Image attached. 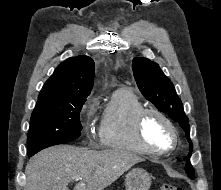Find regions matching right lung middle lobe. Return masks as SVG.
Instances as JSON below:
<instances>
[{"mask_svg":"<svg viewBox=\"0 0 221 190\" xmlns=\"http://www.w3.org/2000/svg\"><path fill=\"white\" fill-rule=\"evenodd\" d=\"M86 100L75 104L36 106L30 122L28 156L81 135L80 112Z\"/></svg>","mask_w":221,"mask_h":190,"instance_id":"dd1d6c3e","label":"right lung middle lobe"}]
</instances>
